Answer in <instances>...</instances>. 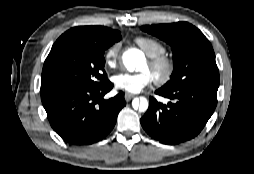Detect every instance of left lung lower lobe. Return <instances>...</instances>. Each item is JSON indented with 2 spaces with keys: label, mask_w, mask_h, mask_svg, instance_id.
<instances>
[{
  "label": "left lung lower lobe",
  "mask_w": 254,
  "mask_h": 174,
  "mask_svg": "<svg viewBox=\"0 0 254 174\" xmlns=\"http://www.w3.org/2000/svg\"><path fill=\"white\" fill-rule=\"evenodd\" d=\"M218 87L189 85L177 90L158 89L155 93L170 99L167 105L150 97L149 108L141 118L144 130L163 144H178L196 137L217 105Z\"/></svg>",
  "instance_id": "obj_1"
}]
</instances>
